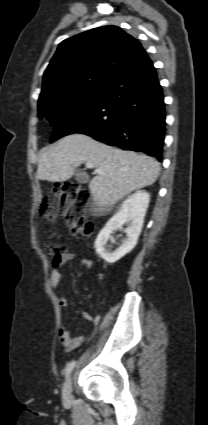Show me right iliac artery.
I'll return each mask as SVG.
<instances>
[{
	"mask_svg": "<svg viewBox=\"0 0 208 425\" xmlns=\"http://www.w3.org/2000/svg\"><path fill=\"white\" fill-rule=\"evenodd\" d=\"M75 364H76V362L75 361H72L71 363H69L67 366H66V370H65V376L67 377L71 372H72V370H73V368H74V366H75Z\"/></svg>",
	"mask_w": 208,
	"mask_h": 425,
	"instance_id": "right-iliac-artery-1",
	"label": "right iliac artery"
}]
</instances>
